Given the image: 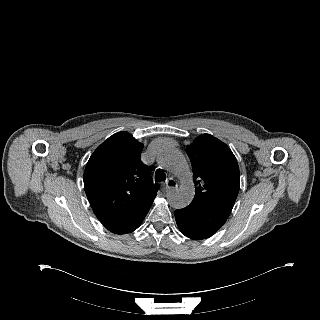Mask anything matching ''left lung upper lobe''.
<instances>
[{
    "label": "left lung upper lobe",
    "instance_id": "1",
    "mask_svg": "<svg viewBox=\"0 0 320 320\" xmlns=\"http://www.w3.org/2000/svg\"><path fill=\"white\" fill-rule=\"evenodd\" d=\"M193 169L195 197L231 213L240 188L237 160L228 146L210 134L187 146Z\"/></svg>",
    "mask_w": 320,
    "mask_h": 320
}]
</instances>
